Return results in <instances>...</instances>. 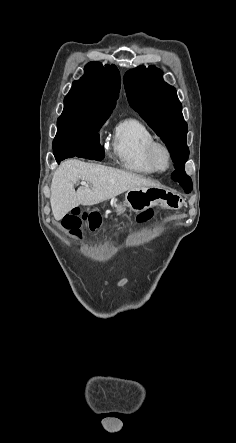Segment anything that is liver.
Masks as SVG:
<instances>
[{"label":"liver","instance_id":"1","mask_svg":"<svg viewBox=\"0 0 236 443\" xmlns=\"http://www.w3.org/2000/svg\"><path fill=\"white\" fill-rule=\"evenodd\" d=\"M79 180L91 186L75 191L74 184ZM154 186L159 184L133 173L72 159L62 162L55 171L50 203L54 218L61 220L76 206L95 205L134 188Z\"/></svg>","mask_w":236,"mask_h":443}]
</instances>
